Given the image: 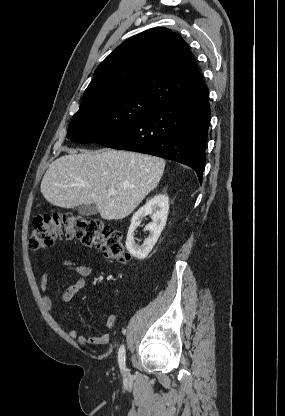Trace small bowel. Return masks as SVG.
Segmentation results:
<instances>
[{"instance_id":"small-bowel-1","label":"small bowel","mask_w":285,"mask_h":416,"mask_svg":"<svg viewBox=\"0 0 285 416\" xmlns=\"http://www.w3.org/2000/svg\"><path fill=\"white\" fill-rule=\"evenodd\" d=\"M61 272L72 273L76 275V279L64 292L60 295L61 302L70 301L85 285V279L92 273V268L89 265L77 263L71 260H65L60 262ZM58 272H44L40 279V289L43 293H47L56 279ZM42 303L45 310L49 313L53 311V300L49 295H44ZM116 323V316L109 315L106 319V328L111 329ZM70 338L77 340L81 345H105L109 341V334L102 333L98 336H88L81 334L77 329H71L68 332Z\"/></svg>"}]
</instances>
